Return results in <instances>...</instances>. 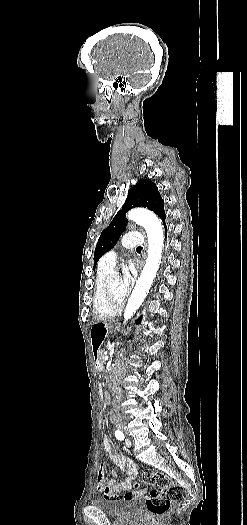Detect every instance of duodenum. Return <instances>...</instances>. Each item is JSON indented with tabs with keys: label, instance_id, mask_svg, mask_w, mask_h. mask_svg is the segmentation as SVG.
<instances>
[{
	"label": "duodenum",
	"instance_id": "duodenum-1",
	"mask_svg": "<svg viewBox=\"0 0 247 525\" xmlns=\"http://www.w3.org/2000/svg\"><path fill=\"white\" fill-rule=\"evenodd\" d=\"M95 369L96 371L100 372L102 370V364L99 361L95 362ZM99 394L101 398L106 399V395L102 389H99Z\"/></svg>",
	"mask_w": 247,
	"mask_h": 525
}]
</instances>
